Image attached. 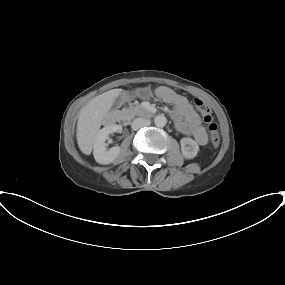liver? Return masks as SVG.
<instances>
[{"mask_svg":"<svg viewBox=\"0 0 285 285\" xmlns=\"http://www.w3.org/2000/svg\"><path fill=\"white\" fill-rule=\"evenodd\" d=\"M118 89H112L94 97L80 112L77 122V143L86 155H90L101 124L111 109Z\"/></svg>","mask_w":285,"mask_h":285,"instance_id":"liver-1","label":"liver"}]
</instances>
